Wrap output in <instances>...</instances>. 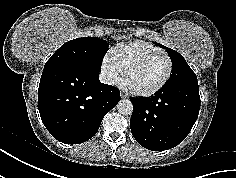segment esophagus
<instances>
[{"label": "esophagus", "instance_id": "esophagus-1", "mask_svg": "<svg viewBox=\"0 0 236 178\" xmlns=\"http://www.w3.org/2000/svg\"><path fill=\"white\" fill-rule=\"evenodd\" d=\"M120 98L124 99V98H126V95L124 93L120 92Z\"/></svg>", "mask_w": 236, "mask_h": 178}]
</instances>
